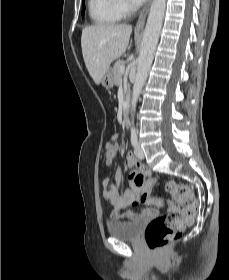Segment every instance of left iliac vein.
Here are the masks:
<instances>
[{"mask_svg":"<svg viewBox=\"0 0 229 280\" xmlns=\"http://www.w3.org/2000/svg\"><path fill=\"white\" fill-rule=\"evenodd\" d=\"M134 152L138 158L144 159V152L139 143L135 146Z\"/></svg>","mask_w":229,"mask_h":280,"instance_id":"obj_1","label":"left iliac vein"}]
</instances>
